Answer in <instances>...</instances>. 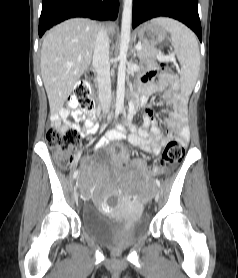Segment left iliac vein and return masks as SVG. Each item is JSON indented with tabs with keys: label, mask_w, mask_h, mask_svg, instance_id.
Returning a JSON list of instances; mask_svg holds the SVG:
<instances>
[{
	"label": "left iliac vein",
	"mask_w": 238,
	"mask_h": 278,
	"mask_svg": "<svg viewBox=\"0 0 238 278\" xmlns=\"http://www.w3.org/2000/svg\"><path fill=\"white\" fill-rule=\"evenodd\" d=\"M159 196H160V191L157 190V191L155 192V200H156V201H158Z\"/></svg>",
	"instance_id": "4c4485c4"
}]
</instances>
